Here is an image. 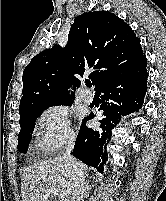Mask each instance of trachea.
Listing matches in <instances>:
<instances>
[{"instance_id": "obj_1", "label": "trachea", "mask_w": 166, "mask_h": 201, "mask_svg": "<svg viewBox=\"0 0 166 201\" xmlns=\"http://www.w3.org/2000/svg\"><path fill=\"white\" fill-rule=\"evenodd\" d=\"M85 83H86V86H88V87H91V85H92V84H91V81H89V80L86 81Z\"/></svg>"}]
</instances>
